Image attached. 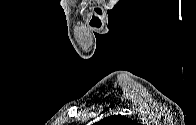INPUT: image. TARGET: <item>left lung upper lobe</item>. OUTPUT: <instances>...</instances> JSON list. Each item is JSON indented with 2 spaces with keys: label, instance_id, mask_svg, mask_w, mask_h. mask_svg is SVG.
<instances>
[{
  "label": "left lung upper lobe",
  "instance_id": "5c2ea615",
  "mask_svg": "<svg viewBox=\"0 0 196 125\" xmlns=\"http://www.w3.org/2000/svg\"><path fill=\"white\" fill-rule=\"evenodd\" d=\"M102 125H132L133 121L121 115H113L100 121Z\"/></svg>",
  "mask_w": 196,
  "mask_h": 125
}]
</instances>
